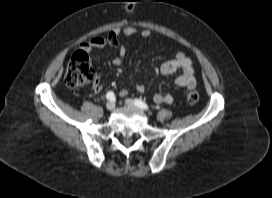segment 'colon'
I'll return each instance as SVG.
<instances>
[{
  "mask_svg": "<svg viewBox=\"0 0 272 198\" xmlns=\"http://www.w3.org/2000/svg\"><path fill=\"white\" fill-rule=\"evenodd\" d=\"M97 72L91 63L90 57L85 51L76 52L65 73L64 81L68 87H81L93 82ZM199 100V94L191 91L187 95V101L195 104Z\"/></svg>",
  "mask_w": 272,
  "mask_h": 198,
  "instance_id": "5ec220e1",
  "label": "colon"
}]
</instances>
